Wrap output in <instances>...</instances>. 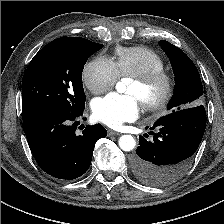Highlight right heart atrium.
<instances>
[{"instance_id":"d8ad5b80","label":"right heart atrium","mask_w":224,"mask_h":224,"mask_svg":"<svg viewBox=\"0 0 224 224\" xmlns=\"http://www.w3.org/2000/svg\"><path fill=\"white\" fill-rule=\"evenodd\" d=\"M119 78L114 62L104 56L89 61L83 68L82 80L92 94H101L111 89Z\"/></svg>"}]
</instances>
